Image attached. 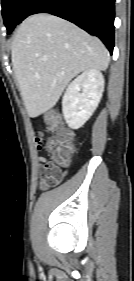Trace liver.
<instances>
[{"label": "liver", "mask_w": 134, "mask_h": 281, "mask_svg": "<svg viewBox=\"0 0 134 281\" xmlns=\"http://www.w3.org/2000/svg\"><path fill=\"white\" fill-rule=\"evenodd\" d=\"M13 70L32 118L58 102L70 80L82 71L107 69L104 44L73 23L39 13L18 27L11 45Z\"/></svg>", "instance_id": "liver-1"}]
</instances>
